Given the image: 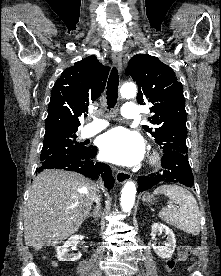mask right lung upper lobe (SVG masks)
Returning a JSON list of instances; mask_svg holds the SVG:
<instances>
[{
	"label": "right lung upper lobe",
	"instance_id": "1",
	"mask_svg": "<svg viewBox=\"0 0 221 276\" xmlns=\"http://www.w3.org/2000/svg\"><path fill=\"white\" fill-rule=\"evenodd\" d=\"M109 70L94 55L65 69L51 91L45 134L77 132L79 117L100 97Z\"/></svg>",
	"mask_w": 221,
	"mask_h": 276
}]
</instances>
